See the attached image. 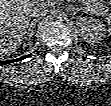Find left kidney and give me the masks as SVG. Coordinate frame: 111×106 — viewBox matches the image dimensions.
Masks as SVG:
<instances>
[{
  "instance_id": "left-kidney-1",
  "label": "left kidney",
  "mask_w": 111,
  "mask_h": 106,
  "mask_svg": "<svg viewBox=\"0 0 111 106\" xmlns=\"http://www.w3.org/2000/svg\"><path fill=\"white\" fill-rule=\"evenodd\" d=\"M76 25L82 39L89 44L93 45L105 36V25L99 19L83 16L78 18Z\"/></svg>"
}]
</instances>
